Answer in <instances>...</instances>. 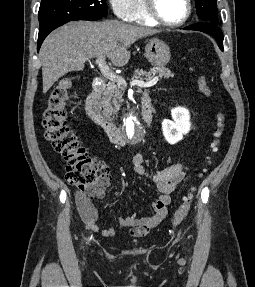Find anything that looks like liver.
<instances>
[{
    "mask_svg": "<svg viewBox=\"0 0 255 287\" xmlns=\"http://www.w3.org/2000/svg\"><path fill=\"white\" fill-rule=\"evenodd\" d=\"M159 30L131 26L123 22H69L47 36L39 52L42 66L43 94L49 88L75 70L84 68L80 58L107 56L113 66L122 68L130 60L128 48L146 36Z\"/></svg>",
    "mask_w": 255,
    "mask_h": 287,
    "instance_id": "1",
    "label": "liver"
}]
</instances>
